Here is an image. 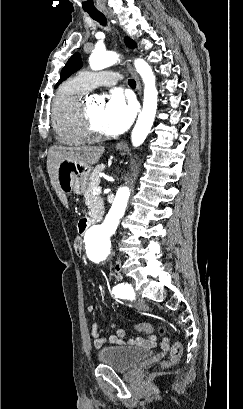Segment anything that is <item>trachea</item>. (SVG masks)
<instances>
[{
    "label": "trachea",
    "instance_id": "obj_1",
    "mask_svg": "<svg viewBox=\"0 0 243 409\" xmlns=\"http://www.w3.org/2000/svg\"><path fill=\"white\" fill-rule=\"evenodd\" d=\"M88 14L90 15V17L94 20H96L97 22H99L102 25H106L107 20L105 18V16L101 13V12H88ZM128 84L130 87H136V82L133 79H129L128 80Z\"/></svg>",
    "mask_w": 243,
    "mask_h": 409
}]
</instances>
